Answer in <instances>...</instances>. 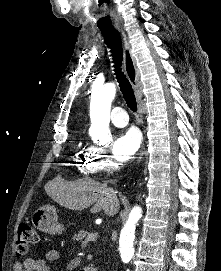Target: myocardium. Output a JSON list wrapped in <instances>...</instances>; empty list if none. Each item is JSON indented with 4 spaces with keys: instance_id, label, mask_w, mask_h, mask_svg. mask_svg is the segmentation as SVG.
Masks as SVG:
<instances>
[{
    "instance_id": "obj_1",
    "label": "myocardium",
    "mask_w": 221,
    "mask_h": 271,
    "mask_svg": "<svg viewBox=\"0 0 221 271\" xmlns=\"http://www.w3.org/2000/svg\"><path fill=\"white\" fill-rule=\"evenodd\" d=\"M117 166L120 168L122 165L119 163Z\"/></svg>"
}]
</instances>
